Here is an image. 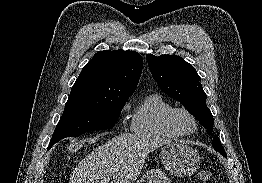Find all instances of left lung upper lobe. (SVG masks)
<instances>
[{"instance_id":"5c2ea615","label":"left lung upper lobe","mask_w":262,"mask_h":183,"mask_svg":"<svg viewBox=\"0 0 262 183\" xmlns=\"http://www.w3.org/2000/svg\"><path fill=\"white\" fill-rule=\"evenodd\" d=\"M149 69L160 88L180 103L207 129L212 135L214 120L206 105V93L200 83L201 78L194 67L176 55H146ZM212 145L223 156L226 155L217 136ZM227 156V155H226Z\"/></svg>"}]
</instances>
